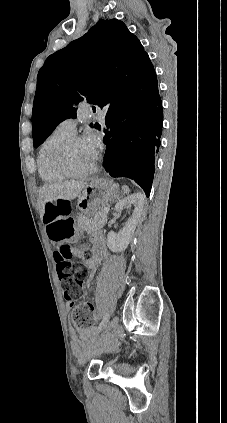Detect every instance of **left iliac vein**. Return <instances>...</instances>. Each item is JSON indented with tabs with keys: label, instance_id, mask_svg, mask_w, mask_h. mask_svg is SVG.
I'll return each mask as SVG.
<instances>
[{
	"label": "left iliac vein",
	"instance_id": "obj_1",
	"mask_svg": "<svg viewBox=\"0 0 227 423\" xmlns=\"http://www.w3.org/2000/svg\"><path fill=\"white\" fill-rule=\"evenodd\" d=\"M118 323H119V318H118V316H114V317L111 319V321L109 322V324H108V326H107V328H106V331L102 334V337H101V338H105V337H107V336H108V333H109L110 331H114V330L116 329V327H117Z\"/></svg>",
	"mask_w": 227,
	"mask_h": 423
}]
</instances>
